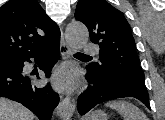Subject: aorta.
I'll list each match as a JSON object with an SVG mask.
<instances>
[{
    "instance_id": "aorta-1",
    "label": "aorta",
    "mask_w": 165,
    "mask_h": 120,
    "mask_svg": "<svg viewBox=\"0 0 165 120\" xmlns=\"http://www.w3.org/2000/svg\"><path fill=\"white\" fill-rule=\"evenodd\" d=\"M67 41L74 49L82 48L89 38L87 27L79 21H72L66 27Z\"/></svg>"
}]
</instances>
